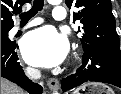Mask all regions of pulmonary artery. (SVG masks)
I'll use <instances>...</instances> for the list:
<instances>
[{"mask_svg": "<svg viewBox=\"0 0 121 94\" xmlns=\"http://www.w3.org/2000/svg\"><path fill=\"white\" fill-rule=\"evenodd\" d=\"M66 15H67L66 9L63 6H56L54 8V10H53L52 17L56 21H65L66 20ZM42 22H43V20L41 18H36V19L32 20L31 22H29L23 28H21L19 26L13 27L12 30L10 31V33L11 34H16L18 31H20L22 29L41 24Z\"/></svg>", "mask_w": 121, "mask_h": 94, "instance_id": "e3ab8cb5", "label": "pulmonary artery"}]
</instances>
